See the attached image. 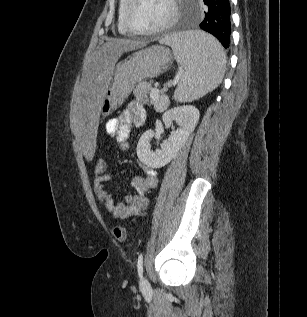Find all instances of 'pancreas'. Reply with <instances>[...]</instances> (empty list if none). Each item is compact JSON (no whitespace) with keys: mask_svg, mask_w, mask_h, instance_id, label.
I'll return each instance as SVG.
<instances>
[{"mask_svg":"<svg viewBox=\"0 0 307 317\" xmlns=\"http://www.w3.org/2000/svg\"><path fill=\"white\" fill-rule=\"evenodd\" d=\"M151 86L148 83H140L136 86L134 94L138 99H142L146 104H152L154 100L150 97Z\"/></svg>","mask_w":307,"mask_h":317,"instance_id":"1","label":"pancreas"}]
</instances>
